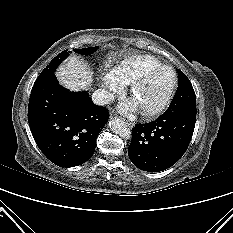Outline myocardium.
Here are the masks:
<instances>
[{
  "label": "myocardium",
  "instance_id": "myocardium-1",
  "mask_svg": "<svg viewBox=\"0 0 233 233\" xmlns=\"http://www.w3.org/2000/svg\"><path fill=\"white\" fill-rule=\"evenodd\" d=\"M159 71L167 72L171 75V78H172L171 85L167 93L163 97V99L158 104L150 108H139L140 113L146 117L156 116L167 108V106L170 104L172 100V97L174 95V92L177 86V76L174 70H172L170 67L162 65V66L153 67V68L146 70L134 82L131 83L130 95L134 99L137 90L148 80V78L152 74L159 72Z\"/></svg>",
  "mask_w": 233,
  "mask_h": 233
}]
</instances>
